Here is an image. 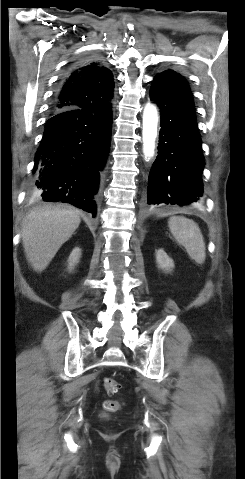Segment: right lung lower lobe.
Returning <instances> with one entry per match:
<instances>
[{
	"label": "right lung lower lobe",
	"instance_id": "right-lung-lower-lobe-1",
	"mask_svg": "<svg viewBox=\"0 0 245 479\" xmlns=\"http://www.w3.org/2000/svg\"><path fill=\"white\" fill-rule=\"evenodd\" d=\"M111 125L112 103L53 112L36 153L31 196L69 203L95 216Z\"/></svg>",
	"mask_w": 245,
	"mask_h": 479
}]
</instances>
